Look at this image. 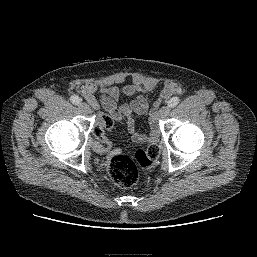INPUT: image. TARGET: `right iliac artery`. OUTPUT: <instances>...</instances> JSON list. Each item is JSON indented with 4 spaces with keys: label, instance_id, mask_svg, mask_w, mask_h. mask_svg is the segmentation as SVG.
Segmentation results:
<instances>
[{
    "label": "right iliac artery",
    "instance_id": "82829eb1",
    "mask_svg": "<svg viewBox=\"0 0 257 257\" xmlns=\"http://www.w3.org/2000/svg\"><path fill=\"white\" fill-rule=\"evenodd\" d=\"M70 100L73 104L78 105L81 102V99L77 95H72Z\"/></svg>",
    "mask_w": 257,
    "mask_h": 257
}]
</instances>
